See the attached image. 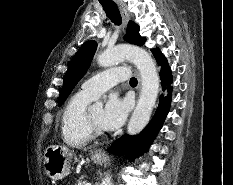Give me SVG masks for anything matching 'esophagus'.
<instances>
[{
    "mask_svg": "<svg viewBox=\"0 0 233 185\" xmlns=\"http://www.w3.org/2000/svg\"><path fill=\"white\" fill-rule=\"evenodd\" d=\"M118 7H119L121 16H122L125 24H127L130 21V14H129L126 6L123 3H119ZM136 74H137V78H138V91L140 92V90H141V77H140V74L138 71H136ZM97 154L104 155L105 152L102 150H99V151H97Z\"/></svg>",
    "mask_w": 233,
    "mask_h": 185,
    "instance_id": "34e87169",
    "label": "esophagus"
}]
</instances>
